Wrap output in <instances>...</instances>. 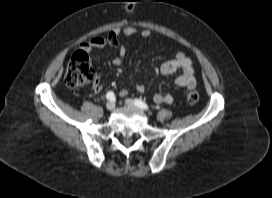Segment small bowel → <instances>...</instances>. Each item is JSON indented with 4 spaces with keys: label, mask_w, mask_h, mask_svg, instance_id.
Masks as SVG:
<instances>
[{
    "label": "small bowel",
    "mask_w": 272,
    "mask_h": 198,
    "mask_svg": "<svg viewBox=\"0 0 272 198\" xmlns=\"http://www.w3.org/2000/svg\"><path fill=\"white\" fill-rule=\"evenodd\" d=\"M123 33L126 36H133L135 34H140L144 38H148L152 35L150 30L139 31L134 27H125L123 29L115 28L110 31L105 36H96L88 41L82 42L80 49L87 53H91L95 49H101L106 46H113L117 49V55L113 58L112 63L115 66H119L123 63L126 56V48L118 40L119 35ZM181 71V74L175 79L174 83L186 89H194L196 86L195 71L192 65V61L184 53L178 52L175 57L169 61L163 63L160 67V72L163 75H169L176 71ZM103 89V84L100 80H96L92 85V90L95 93H100ZM135 89L142 93L145 91V86L143 84L137 83ZM127 90L121 91V95H126ZM153 100L156 103L172 104L173 96L170 94H155Z\"/></svg>",
    "instance_id": "obj_1"
}]
</instances>
